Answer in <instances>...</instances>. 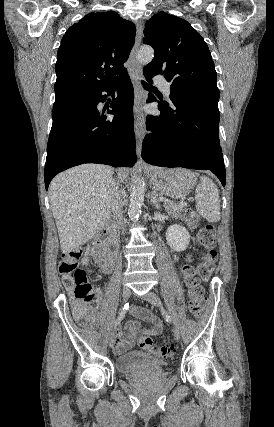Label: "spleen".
<instances>
[{
	"mask_svg": "<svg viewBox=\"0 0 274 427\" xmlns=\"http://www.w3.org/2000/svg\"><path fill=\"white\" fill-rule=\"evenodd\" d=\"M196 210L200 215L206 217L208 221H219L220 212V196L216 184L202 176L200 184H198L195 192Z\"/></svg>",
	"mask_w": 274,
	"mask_h": 427,
	"instance_id": "obj_1",
	"label": "spleen"
}]
</instances>
